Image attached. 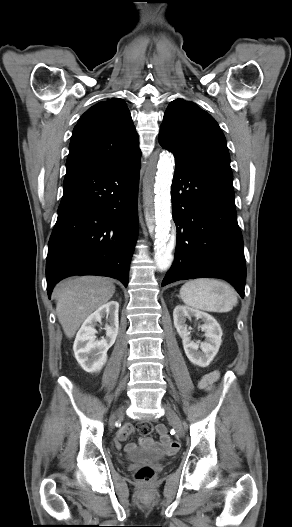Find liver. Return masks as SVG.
Instances as JSON below:
<instances>
[{"instance_id":"6515ba94","label":"liver","mask_w":292,"mask_h":527,"mask_svg":"<svg viewBox=\"0 0 292 527\" xmlns=\"http://www.w3.org/2000/svg\"><path fill=\"white\" fill-rule=\"evenodd\" d=\"M115 293V285L107 278L81 276L56 285L53 295L56 313L65 335L72 338L80 325Z\"/></svg>"}]
</instances>
